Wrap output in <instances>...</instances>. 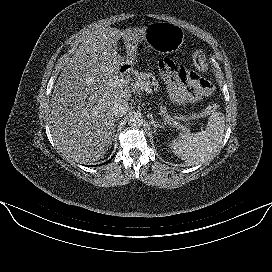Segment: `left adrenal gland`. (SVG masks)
<instances>
[{
	"instance_id": "1",
	"label": "left adrenal gland",
	"mask_w": 272,
	"mask_h": 272,
	"mask_svg": "<svg viewBox=\"0 0 272 272\" xmlns=\"http://www.w3.org/2000/svg\"><path fill=\"white\" fill-rule=\"evenodd\" d=\"M161 124H159V122L157 120H154L153 118L151 119V124L154 126V128H164V126L166 125L165 123L161 122Z\"/></svg>"
}]
</instances>
